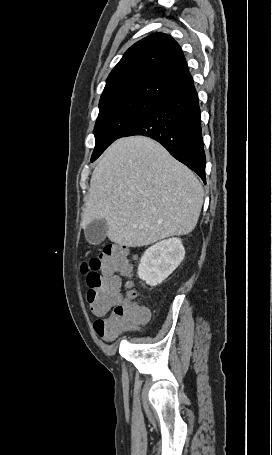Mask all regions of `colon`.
Segmentation results:
<instances>
[{
  "mask_svg": "<svg viewBox=\"0 0 272 455\" xmlns=\"http://www.w3.org/2000/svg\"><path fill=\"white\" fill-rule=\"evenodd\" d=\"M86 279V300L90 311L101 318L94 324L96 334L107 341L145 321L147 310L135 301L133 290L123 297L120 276H129L131 261L126 247L107 244L81 264Z\"/></svg>",
  "mask_w": 272,
  "mask_h": 455,
  "instance_id": "colon-1",
  "label": "colon"
}]
</instances>
